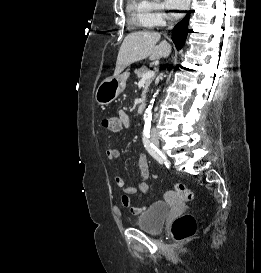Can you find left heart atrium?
Here are the masks:
<instances>
[{
  "instance_id": "obj_1",
  "label": "left heart atrium",
  "mask_w": 261,
  "mask_h": 273,
  "mask_svg": "<svg viewBox=\"0 0 261 273\" xmlns=\"http://www.w3.org/2000/svg\"><path fill=\"white\" fill-rule=\"evenodd\" d=\"M166 4L169 8L173 9L176 14H179V12L187 8L189 0H166Z\"/></svg>"
}]
</instances>
